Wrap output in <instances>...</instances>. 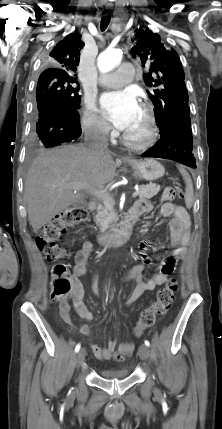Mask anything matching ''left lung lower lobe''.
<instances>
[{
	"instance_id": "left-lung-lower-lobe-1",
	"label": "left lung lower lobe",
	"mask_w": 222,
	"mask_h": 429,
	"mask_svg": "<svg viewBox=\"0 0 222 429\" xmlns=\"http://www.w3.org/2000/svg\"><path fill=\"white\" fill-rule=\"evenodd\" d=\"M160 128V140L142 155L170 159L188 167L196 168V160L192 154V130L189 115L170 119Z\"/></svg>"
}]
</instances>
